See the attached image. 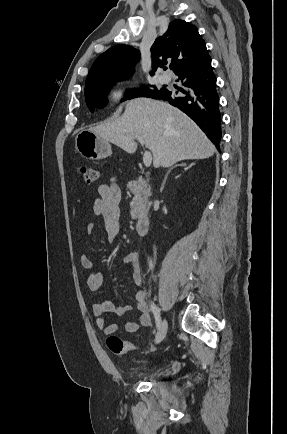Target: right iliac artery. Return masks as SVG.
I'll return each instance as SVG.
<instances>
[{
  "instance_id": "82829eb1",
  "label": "right iliac artery",
  "mask_w": 287,
  "mask_h": 434,
  "mask_svg": "<svg viewBox=\"0 0 287 434\" xmlns=\"http://www.w3.org/2000/svg\"><path fill=\"white\" fill-rule=\"evenodd\" d=\"M151 310H152L154 317H155L156 329H159L161 327L162 321H161L159 311H158L156 305L154 304V302L151 303Z\"/></svg>"
}]
</instances>
